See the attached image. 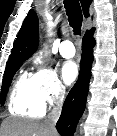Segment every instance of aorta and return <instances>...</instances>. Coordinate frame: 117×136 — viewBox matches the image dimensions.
<instances>
[{"mask_svg":"<svg viewBox=\"0 0 117 136\" xmlns=\"http://www.w3.org/2000/svg\"><path fill=\"white\" fill-rule=\"evenodd\" d=\"M49 19H50V21L48 22V25H49V27H52L54 25V23L51 21V18H49Z\"/></svg>","mask_w":117,"mask_h":136,"instance_id":"762f6f07","label":"aorta"}]
</instances>
